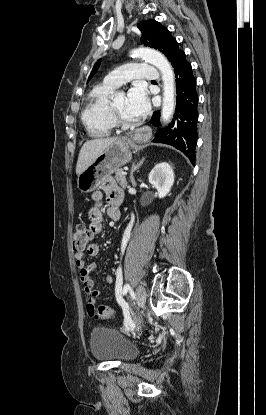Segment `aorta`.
<instances>
[{
    "label": "aorta",
    "mask_w": 266,
    "mask_h": 415,
    "mask_svg": "<svg viewBox=\"0 0 266 415\" xmlns=\"http://www.w3.org/2000/svg\"><path fill=\"white\" fill-rule=\"evenodd\" d=\"M133 54L146 62L154 65L161 73L163 81V103L161 110V119L168 123L175 110V76L171 64L164 55L150 48H139L133 51Z\"/></svg>",
    "instance_id": "762f6f07"
}]
</instances>
